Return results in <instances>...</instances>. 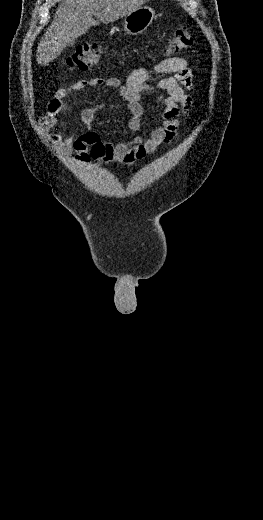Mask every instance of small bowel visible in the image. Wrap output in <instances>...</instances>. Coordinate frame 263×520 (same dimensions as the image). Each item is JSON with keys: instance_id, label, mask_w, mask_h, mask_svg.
<instances>
[{"instance_id": "1", "label": "small bowel", "mask_w": 263, "mask_h": 520, "mask_svg": "<svg viewBox=\"0 0 263 520\" xmlns=\"http://www.w3.org/2000/svg\"><path fill=\"white\" fill-rule=\"evenodd\" d=\"M101 85L116 89L128 103L130 118L127 127L131 132L139 131L145 115L142 97L156 92L157 102L164 106L158 117L159 125L147 137L137 136L130 141L116 144L104 142L97 132L90 129L92 121L102 108H83L80 122L84 131L78 135L64 134L60 129L62 122L58 115L67 109L69 94ZM194 87L193 73L186 60L169 57L150 69H134L125 78L81 79L70 87L57 89L48 102L46 114L40 119L39 125L43 132L49 133L52 143L64 155L75 152V161L78 164H87L91 160L98 163L118 161L131 164L146 158L175 137L181 120L192 110L193 99L186 91H191Z\"/></svg>"}]
</instances>
